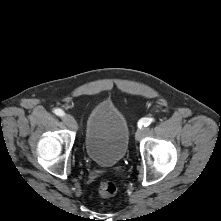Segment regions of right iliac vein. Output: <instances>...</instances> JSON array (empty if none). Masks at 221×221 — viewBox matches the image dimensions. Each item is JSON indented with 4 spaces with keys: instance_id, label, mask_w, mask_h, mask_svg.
<instances>
[{
    "instance_id": "right-iliac-vein-1",
    "label": "right iliac vein",
    "mask_w": 221,
    "mask_h": 221,
    "mask_svg": "<svg viewBox=\"0 0 221 221\" xmlns=\"http://www.w3.org/2000/svg\"><path fill=\"white\" fill-rule=\"evenodd\" d=\"M63 121L70 129H72V130L77 129V122L72 116L65 115L63 117Z\"/></svg>"
}]
</instances>
